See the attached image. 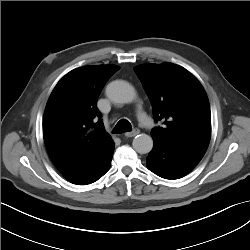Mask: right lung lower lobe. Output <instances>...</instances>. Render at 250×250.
Wrapping results in <instances>:
<instances>
[{"label":"right lung lower lobe","mask_w":250,"mask_h":250,"mask_svg":"<svg viewBox=\"0 0 250 250\" xmlns=\"http://www.w3.org/2000/svg\"><path fill=\"white\" fill-rule=\"evenodd\" d=\"M114 152V142L79 168L63 174L71 183L86 185L97 181L110 168Z\"/></svg>","instance_id":"98d812e1"}]
</instances>
